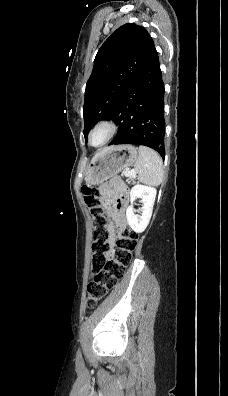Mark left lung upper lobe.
Listing matches in <instances>:
<instances>
[{
    "label": "left lung upper lobe",
    "instance_id": "5c2ea615",
    "mask_svg": "<svg viewBox=\"0 0 228 396\" xmlns=\"http://www.w3.org/2000/svg\"><path fill=\"white\" fill-rule=\"evenodd\" d=\"M154 48L149 33L134 23L122 25L104 42L86 84L83 106L85 138L93 124L113 118Z\"/></svg>",
    "mask_w": 228,
    "mask_h": 396
}]
</instances>
